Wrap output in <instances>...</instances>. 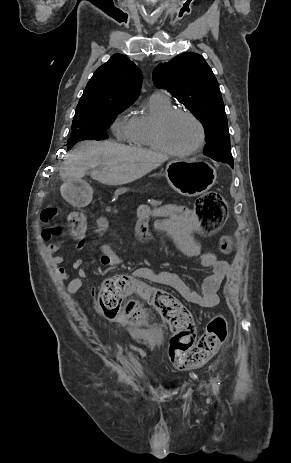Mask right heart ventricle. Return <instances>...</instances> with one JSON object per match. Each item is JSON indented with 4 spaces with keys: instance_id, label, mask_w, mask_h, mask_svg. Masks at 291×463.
Instances as JSON below:
<instances>
[{
    "instance_id": "1",
    "label": "right heart ventricle",
    "mask_w": 291,
    "mask_h": 463,
    "mask_svg": "<svg viewBox=\"0 0 291 463\" xmlns=\"http://www.w3.org/2000/svg\"><path fill=\"white\" fill-rule=\"evenodd\" d=\"M172 109L169 98L160 92H155L146 101L142 111L132 116V132L129 141L139 147L159 150L153 138L155 121Z\"/></svg>"
}]
</instances>
